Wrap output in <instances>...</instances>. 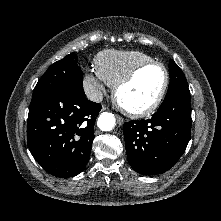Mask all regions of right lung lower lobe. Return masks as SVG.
<instances>
[{"instance_id": "obj_1", "label": "right lung lower lobe", "mask_w": 221, "mask_h": 221, "mask_svg": "<svg viewBox=\"0 0 221 221\" xmlns=\"http://www.w3.org/2000/svg\"><path fill=\"white\" fill-rule=\"evenodd\" d=\"M101 105L85 93L64 88L29 106L27 143L34 159L49 174L68 178L89 161L94 124Z\"/></svg>"}]
</instances>
